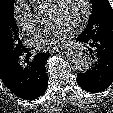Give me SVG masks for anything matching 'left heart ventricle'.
<instances>
[{"label": "left heart ventricle", "mask_w": 113, "mask_h": 113, "mask_svg": "<svg viewBox=\"0 0 113 113\" xmlns=\"http://www.w3.org/2000/svg\"><path fill=\"white\" fill-rule=\"evenodd\" d=\"M84 12L83 0H64L58 9L50 8L48 22L64 21L75 26Z\"/></svg>", "instance_id": "obj_1"}]
</instances>
